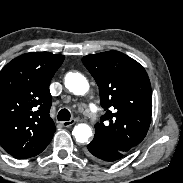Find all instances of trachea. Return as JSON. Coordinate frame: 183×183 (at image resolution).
<instances>
[{"label":"trachea","mask_w":183,"mask_h":183,"mask_svg":"<svg viewBox=\"0 0 183 183\" xmlns=\"http://www.w3.org/2000/svg\"><path fill=\"white\" fill-rule=\"evenodd\" d=\"M70 117H71V114L67 109H61L58 112V120L59 121H69Z\"/></svg>","instance_id":"3493384b"}]
</instances>
